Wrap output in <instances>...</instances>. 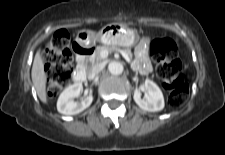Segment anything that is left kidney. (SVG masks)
<instances>
[{"instance_id": "1", "label": "left kidney", "mask_w": 225, "mask_h": 155, "mask_svg": "<svg viewBox=\"0 0 225 155\" xmlns=\"http://www.w3.org/2000/svg\"><path fill=\"white\" fill-rule=\"evenodd\" d=\"M144 87L147 90L146 99L141 98V92L138 89L134 90V101L143 110L149 112L161 111L164 108V97L162 91L151 80H146Z\"/></svg>"}]
</instances>
